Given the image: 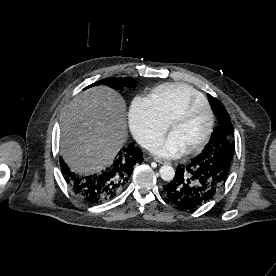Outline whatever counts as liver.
<instances>
[{"label": "liver", "instance_id": "obj_1", "mask_svg": "<svg viewBox=\"0 0 276 276\" xmlns=\"http://www.w3.org/2000/svg\"><path fill=\"white\" fill-rule=\"evenodd\" d=\"M127 136L124 99L108 87H93L64 111L61 153L73 171L98 172L113 161Z\"/></svg>", "mask_w": 276, "mask_h": 276}]
</instances>
